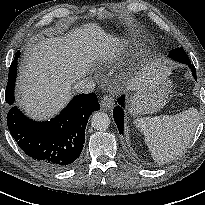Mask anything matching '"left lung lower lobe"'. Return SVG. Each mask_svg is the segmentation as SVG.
I'll return each mask as SVG.
<instances>
[{
  "mask_svg": "<svg viewBox=\"0 0 205 205\" xmlns=\"http://www.w3.org/2000/svg\"><path fill=\"white\" fill-rule=\"evenodd\" d=\"M190 67L191 72H192V76L195 78V80H197L196 78V69L194 67V65H192L191 63L186 64ZM118 104L119 106L114 108L113 111V117L114 120L116 122V125L118 126V130L120 134H123V121H124V101H125V96H121L118 100Z\"/></svg>",
  "mask_w": 205,
  "mask_h": 205,
  "instance_id": "obj_1",
  "label": "left lung lower lobe"
}]
</instances>
